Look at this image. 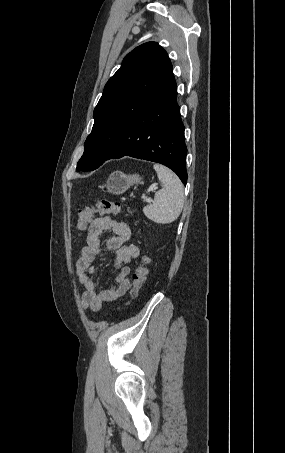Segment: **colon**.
<instances>
[{
  "label": "colon",
  "mask_w": 285,
  "mask_h": 453,
  "mask_svg": "<svg viewBox=\"0 0 285 453\" xmlns=\"http://www.w3.org/2000/svg\"><path fill=\"white\" fill-rule=\"evenodd\" d=\"M121 205L117 202L109 200H101L94 207H86L78 212L77 217V230L83 233L87 230L93 216L96 213L104 214H117L121 211ZM148 257L142 256L137 263L135 271L132 275V286L129 291V300H133L138 296V293L144 285L148 273L147 264Z\"/></svg>",
  "instance_id": "colon-1"
}]
</instances>
